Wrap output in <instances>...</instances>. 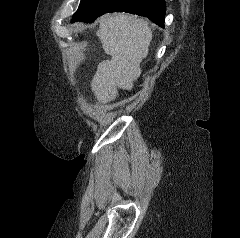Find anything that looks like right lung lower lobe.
<instances>
[{
  "label": "right lung lower lobe",
  "mask_w": 240,
  "mask_h": 238,
  "mask_svg": "<svg viewBox=\"0 0 240 238\" xmlns=\"http://www.w3.org/2000/svg\"><path fill=\"white\" fill-rule=\"evenodd\" d=\"M109 12H128L151 19L164 26L166 7L164 0H121Z\"/></svg>",
  "instance_id": "1"
}]
</instances>
